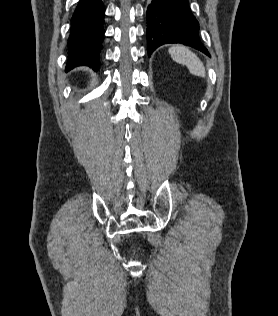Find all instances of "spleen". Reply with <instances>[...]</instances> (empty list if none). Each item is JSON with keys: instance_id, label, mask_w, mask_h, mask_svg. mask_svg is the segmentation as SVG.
<instances>
[{"instance_id": "spleen-1", "label": "spleen", "mask_w": 278, "mask_h": 316, "mask_svg": "<svg viewBox=\"0 0 278 316\" xmlns=\"http://www.w3.org/2000/svg\"><path fill=\"white\" fill-rule=\"evenodd\" d=\"M172 59L180 64L186 65L189 71L196 76H205V68L198 56L182 45H175L169 49Z\"/></svg>"}]
</instances>
